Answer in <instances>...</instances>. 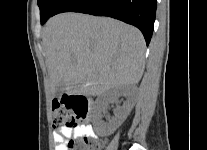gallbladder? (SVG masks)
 <instances>
[{
  "label": "gallbladder",
  "instance_id": "obj_1",
  "mask_svg": "<svg viewBox=\"0 0 207 150\" xmlns=\"http://www.w3.org/2000/svg\"><path fill=\"white\" fill-rule=\"evenodd\" d=\"M65 91V86L64 84L61 82L56 86V96H60L63 92Z\"/></svg>",
  "mask_w": 207,
  "mask_h": 150
}]
</instances>
